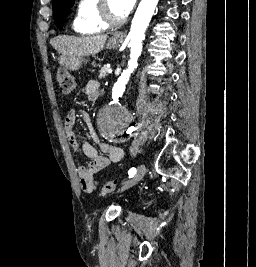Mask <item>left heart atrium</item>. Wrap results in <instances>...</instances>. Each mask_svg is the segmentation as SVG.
I'll return each instance as SVG.
<instances>
[{
	"mask_svg": "<svg viewBox=\"0 0 256 267\" xmlns=\"http://www.w3.org/2000/svg\"><path fill=\"white\" fill-rule=\"evenodd\" d=\"M135 2L136 0H114L119 14V21L115 25L116 28H119L124 24L125 20L133 10Z\"/></svg>",
	"mask_w": 256,
	"mask_h": 267,
	"instance_id": "obj_1",
	"label": "left heart atrium"
}]
</instances>
